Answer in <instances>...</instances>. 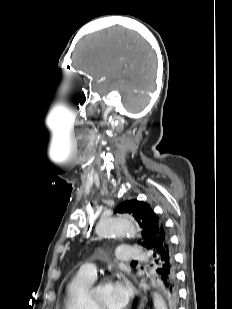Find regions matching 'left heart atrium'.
I'll return each instance as SVG.
<instances>
[{"label": "left heart atrium", "instance_id": "39dd6f15", "mask_svg": "<svg viewBox=\"0 0 232 309\" xmlns=\"http://www.w3.org/2000/svg\"><path fill=\"white\" fill-rule=\"evenodd\" d=\"M114 284L117 294V300L119 304L125 308L129 302L130 288L127 284L123 282H116Z\"/></svg>", "mask_w": 232, "mask_h": 309}]
</instances>
